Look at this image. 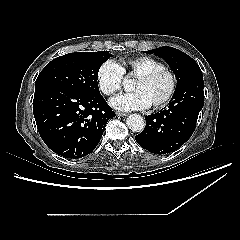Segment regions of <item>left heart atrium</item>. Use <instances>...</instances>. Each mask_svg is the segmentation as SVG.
I'll use <instances>...</instances> for the list:
<instances>
[{
	"label": "left heart atrium",
	"mask_w": 240,
	"mask_h": 240,
	"mask_svg": "<svg viewBox=\"0 0 240 240\" xmlns=\"http://www.w3.org/2000/svg\"><path fill=\"white\" fill-rule=\"evenodd\" d=\"M112 104L120 110L146 107L149 104L147 97L140 91L130 94H120L112 98Z\"/></svg>",
	"instance_id": "left-heart-atrium-1"
}]
</instances>
